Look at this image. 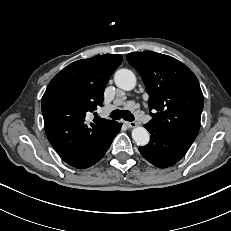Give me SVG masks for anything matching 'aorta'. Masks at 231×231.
<instances>
[{
    "instance_id": "762f6f07",
    "label": "aorta",
    "mask_w": 231,
    "mask_h": 231,
    "mask_svg": "<svg viewBox=\"0 0 231 231\" xmlns=\"http://www.w3.org/2000/svg\"><path fill=\"white\" fill-rule=\"evenodd\" d=\"M114 81L120 89L130 91L136 85V76L129 69H120L115 73ZM132 138L137 145L145 146L150 140V135L143 126H137L132 130Z\"/></svg>"
}]
</instances>
